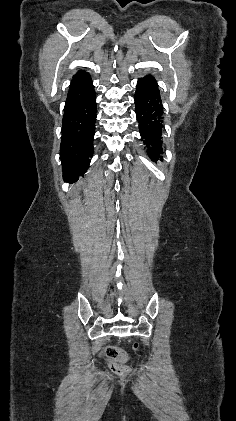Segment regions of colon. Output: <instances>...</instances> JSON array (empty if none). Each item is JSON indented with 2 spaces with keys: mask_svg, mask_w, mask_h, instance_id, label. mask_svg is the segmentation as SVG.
Returning a JSON list of instances; mask_svg holds the SVG:
<instances>
[{
  "mask_svg": "<svg viewBox=\"0 0 236 421\" xmlns=\"http://www.w3.org/2000/svg\"><path fill=\"white\" fill-rule=\"evenodd\" d=\"M106 355L111 359V368L118 375H126L130 368L126 365L127 354L114 346H107L105 349Z\"/></svg>",
  "mask_w": 236,
  "mask_h": 421,
  "instance_id": "1",
  "label": "colon"
}]
</instances>
